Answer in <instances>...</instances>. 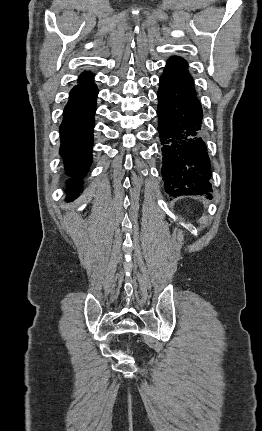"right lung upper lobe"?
Returning a JSON list of instances; mask_svg holds the SVG:
<instances>
[{
  "label": "right lung upper lobe",
  "instance_id": "1",
  "mask_svg": "<svg viewBox=\"0 0 262 431\" xmlns=\"http://www.w3.org/2000/svg\"><path fill=\"white\" fill-rule=\"evenodd\" d=\"M93 74L90 72H84L82 73L81 77L79 78V85H88V84H93Z\"/></svg>",
  "mask_w": 262,
  "mask_h": 431
}]
</instances>
